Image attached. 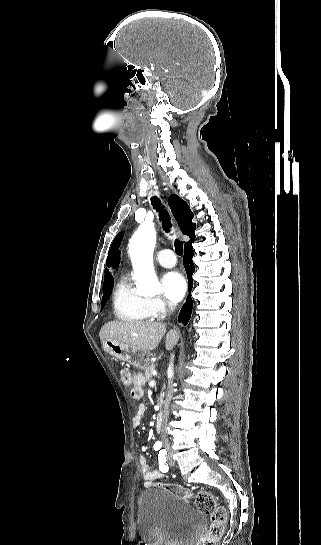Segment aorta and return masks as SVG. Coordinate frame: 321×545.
I'll return each instance as SVG.
<instances>
[{
    "label": "aorta",
    "instance_id": "762f6f07",
    "mask_svg": "<svg viewBox=\"0 0 321 545\" xmlns=\"http://www.w3.org/2000/svg\"><path fill=\"white\" fill-rule=\"evenodd\" d=\"M156 231L151 225H142L129 242V254L137 280V290L141 294L155 295L160 291L153 268V251Z\"/></svg>",
    "mask_w": 321,
    "mask_h": 545
}]
</instances>
